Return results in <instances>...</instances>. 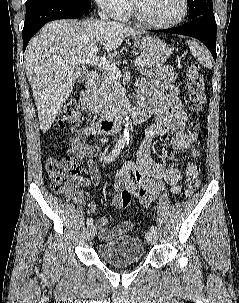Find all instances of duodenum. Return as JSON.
I'll list each match as a JSON object with an SVG mask.
<instances>
[{
    "label": "duodenum",
    "instance_id": "1",
    "mask_svg": "<svg viewBox=\"0 0 239 303\" xmlns=\"http://www.w3.org/2000/svg\"><path fill=\"white\" fill-rule=\"evenodd\" d=\"M98 82V74L90 72L84 81L83 88L80 94V104L82 110L87 117H89V105L91 102V95L96 88ZM152 113V109L143 105L133 111H112L104 114L98 118L96 123L97 129L103 134H110L120 130L129 120L133 124L144 122Z\"/></svg>",
    "mask_w": 239,
    "mask_h": 303
}]
</instances>
